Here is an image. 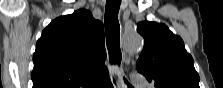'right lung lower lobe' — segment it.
<instances>
[{
    "label": "right lung lower lobe",
    "instance_id": "right-lung-lower-lobe-1",
    "mask_svg": "<svg viewBox=\"0 0 223 88\" xmlns=\"http://www.w3.org/2000/svg\"><path fill=\"white\" fill-rule=\"evenodd\" d=\"M99 88H112L110 79L108 78L103 84L98 86Z\"/></svg>",
    "mask_w": 223,
    "mask_h": 88
}]
</instances>
